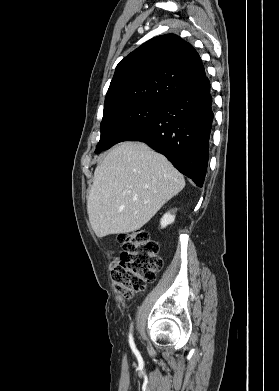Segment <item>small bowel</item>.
Masks as SVG:
<instances>
[{
    "mask_svg": "<svg viewBox=\"0 0 279 391\" xmlns=\"http://www.w3.org/2000/svg\"><path fill=\"white\" fill-rule=\"evenodd\" d=\"M117 263H118V261H114V262L112 263V266L114 267Z\"/></svg>",
    "mask_w": 279,
    "mask_h": 391,
    "instance_id": "obj_1",
    "label": "small bowel"
}]
</instances>
